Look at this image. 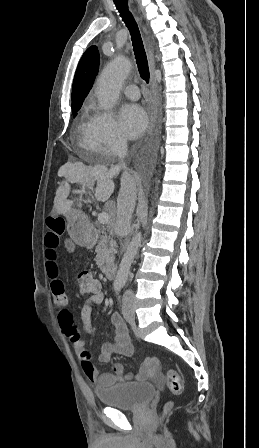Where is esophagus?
<instances>
[{"instance_id": "obj_1", "label": "esophagus", "mask_w": 259, "mask_h": 448, "mask_svg": "<svg viewBox=\"0 0 259 448\" xmlns=\"http://www.w3.org/2000/svg\"><path fill=\"white\" fill-rule=\"evenodd\" d=\"M148 57H149V66H150V72H151V77H150L151 88L154 93V98H155V100H157V81L155 78L156 65H155V60H154V54L149 47H148Z\"/></svg>"}]
</instances>
